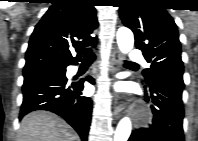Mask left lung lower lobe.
Here are the masks:
<instances>
[{
    "label": "left lung lower lobe",
    "mask_w": 198,
    "mask_h": 141,
    "mask_svg": "<svg viewBox=\"0 0 198 141\" xmlns=\"http://www.w3.org/2000/svg\"><path fill=\"white\" fill-rule=\"evenodd\" d=\"M144 88L145 100L151 99L153 124L133 131L128 141H184L183 80L159 76Z\"/></svg>",
    "instance_id": "obj_1"
}]
</instances>
